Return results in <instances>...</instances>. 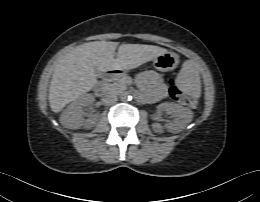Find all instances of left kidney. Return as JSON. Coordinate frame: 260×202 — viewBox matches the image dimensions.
Returning <instances> with one entry per match:
<instances>
[{"label": "left kidney", "instance_id": "5707ae66", "mask_svg": "<svg viewBox=\"0 0 260 202\" xmlns=\"http://www.w3.org/2000/svg\"><path fill=\"white\" fill-rule=\"evenodd\" d=\"M157 110L160 113L167 112L174 118L173 121H170L165 125V128L172 133L180 132L193 118V113L190 109L173 102L161 103L158 105ZM152 128L156 133H162L164 129L159 123H153Z\"/></svg>", "mask_w": 260, "mask_h": 202}]
</instances>
